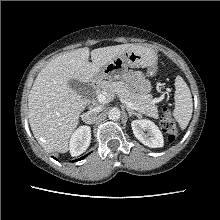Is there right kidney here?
<instances>
[{"mask_svg": "<svg viewBox=\"0 0 220 220\" xmlns=\"http://www.w3.org/2000/svg\"><path fill=\"white\" fill-rule=\"evenodd\" d=\"M91 129L89 126H80L71 136V156H78L85 152L90 145Z\"/></svg>", "mask_w": 220, "mask_h": 220, "instance_id": "right-kidney-1", "label": "right kidney"}]
</instances>
